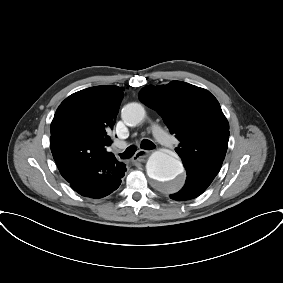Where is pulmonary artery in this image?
Returning <instances> with one entry per match:
<instances>
[{
	"label": "pulmonary artery",
	"instance_id": "e3ab8cb5",
	"mask_svg": "<svg viewBox=\"0 0 283 283\" xmlns=\"http://www.w3.org/2000/svg\"><path fill=\"white\" fill-rule=\"evenodd\" d=\"M154 135L159 142L164 145H172L173 139L159 126L155 125L153 127ZM122 144H119L121 146Z\"/></svg>",
	"mask_w": 283,
	"mask_h": 283
}]
</instances>
